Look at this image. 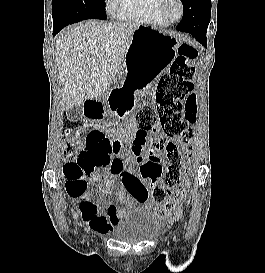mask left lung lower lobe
Instances as JSON below:
<instances>
[{"label": "left lung lower lobe", "mask_w": 265, "mask_h": 273, "mask_svg": "<svg viewBox=\"0 0 265 273\" xmlns=\"http://www.w3.org/2000/svg\"><path fill=\"white\" fill-rule=\"evenodd\" d=\"M211 7V0H192V6L184 11L182 20L176 27L178 31L190 33L202 45L207 47V23L205 12Z\"/></svg>", "instance_id": "left-lung-lower-lobe-1"}]
</instances>
